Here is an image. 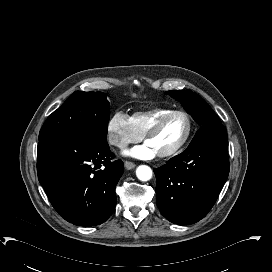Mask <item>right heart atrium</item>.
<instances>
[{"label": "right heart atrium", "instance_id": "right-heart-atrium-1", "mask_svg": "<svg viewBox=\"0 0 272 272\" xmlns=\"http://www.w3.org/2000/svg\"><path fill=\"white\" fill-rule=\"evenodd\" d=\"M108 142L117 147H124L141 138L140 131L132 119L122 111H117L106 124Z\"/></svg>", "mask_w": 272, "mask_h": 272}]
</instances>
